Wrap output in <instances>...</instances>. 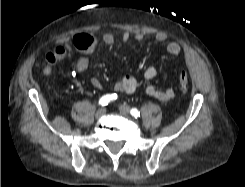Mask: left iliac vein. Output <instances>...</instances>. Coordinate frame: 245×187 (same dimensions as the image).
Here are the masks:
<instances>
[{"instance_id": "4c4485c4", "label": "left iliac vein", "mask_w": 245, "mask_h": 187, "mask_svg": "<svg viewBox=\"0 0 245 187\" xmlns=\"http://www.w3.org/2000/svg\"><path fill=\"white\" fill-rule=\"evenodd\" d=\"M119 111H120V113L126 115V114H129L131 110H130V107L128 105H120Z\"/></svg>"}]
</instances>
